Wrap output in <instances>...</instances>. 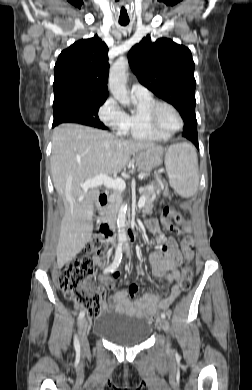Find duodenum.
Returning a JSON list of instances; mask_svg holds the SVG:
<instances>
[{"label": "duodenum", "instance_id": "obj_1", "mask_svg": "<svg viewBox=\"0 0 252 390\" xmlns=\"http://www.w3.org/2000/svg\"><path fill=\"white\" fill-rule=\"evenodd\" d=\"M97 201L101 208H106L109 203V196L107 193L101 192ZM99 231L104 233L110 241H114L116 238L114 229L112 228V223L109 220L103 221L99 224ZM126 236L129 242L135 241L137 238V234L131 228L127 230Z\"/></svg>", "mask_w": 252, "mask_h": 390}]
</instances>
